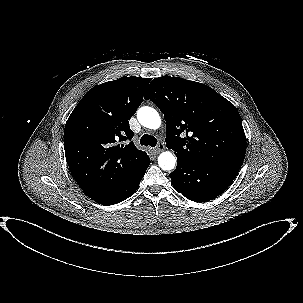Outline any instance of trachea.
Here are the masks:
<instances>
[{
  "mask_svg": "<svg viewBox=\"0 0 303 303\" xmlns=\"http://www.w3.org/2000/svg\"><path fill=\"white\" fill-rule=\"evenodd\" d=\"M140 144L144 146L154 147L157 145V139L154 136L144 134L140 139Z\"/></svg>",
  "mask_w": 303,
  "mask_h": 303,
  "instance_id": "1",
  "label": "trachea"
}]
</instances>
